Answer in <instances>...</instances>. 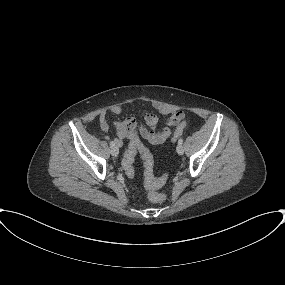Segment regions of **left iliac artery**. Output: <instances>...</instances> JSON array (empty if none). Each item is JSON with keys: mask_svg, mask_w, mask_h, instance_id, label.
<instances>
[{"mask_svg": "<svg viewBox=\"0 0 285 285\" xmlns=\"http://www.w3.org/2000/svg\"><path fill=\"white\" fill-rule=\"evenodd\" d=\"M178 144H179V145H182V144H183V139H182V138H180V139L178 140Z\"/></svg>", "mask_w": 285, "mask_h": 285, "instance_id": "44dca946", "label": "left iliac artery"}]
</instances>
